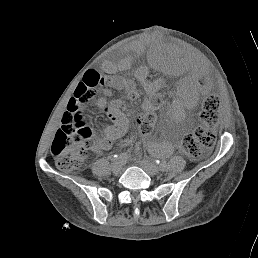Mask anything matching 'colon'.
Returning a JSON list of instances; mask_svg holds the SVG:
<instances>
[{
    "mask_svg": "<svg viewBox=\"0 0 258 258\" xmlns=\"http://www.w3.org/2000/svg\"><path fill=\"white\" fill-rule=\"evenodd\" d=\"M102 80V75L89 70L84 76L74 97L69 101L67 112L62 118L60 129L57 131L51 146V152L56 165L63 171L78 169L86 159L89 151L98 146V131L91 126L80 111L81 105L88 102L95 87ZM219 99L208 96L203 102L201 120L203 127L186 135L177 146L178 151L192 158L202 156L206 149L216 141L213 130L218 122ZM138 129L141 133L150 132L156 122L154 113H144L138 118Z\"/></svg>",
    "mask_w": 258,
    "mask_h": 258,
    "instance_id": "obj_1",
    "label": "colon"
}]
</instances>
